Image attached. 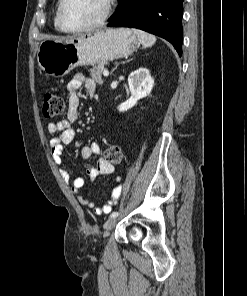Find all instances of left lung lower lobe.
Masks as SVG:
<instances>
[{"label": "left lung lower lobe", "mask_w": 247, "mask_h": 296, "mask_svg": "<svg viewBox=\"0 0 247 296\" xmlns=\"http://www.w3.org/2000/svg\"><path fill=\"white\" fill-rule=\"evenodd\" d=\"M184 0H119L109 27H132L160 36L182 55Z\"/></svg>", "instance_id": "left-lung-lower-lobe-1"}]
</instances>
